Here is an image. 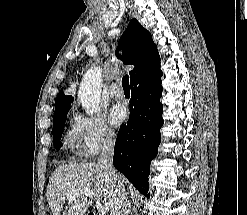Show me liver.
Listing matches in <instances>:
<instances>
[{
  "mask_svg": "<svg viewBox=\"0 0 247 215\" xmlns=\"http://www.w3.org/2000/svg\"><path fill=\"white\" fill-rule=\"evenodd\" d=\"M119 180L123 185L125 178L119 176ZM84 189L91 190L93 192L91 199L106 203L112 212L115 192L112 184L106 180L104 170L96 163H79L60 165L52 173L46 193L51 214L61 215L67 197ZM70 202L66 215L86 214L89 201L84 194Z\"/></svg>",
  "mask_w": 247,
  "mask_h": 215,
  "instance_id": "1",
  "label": "liver"
}]
</instances>
